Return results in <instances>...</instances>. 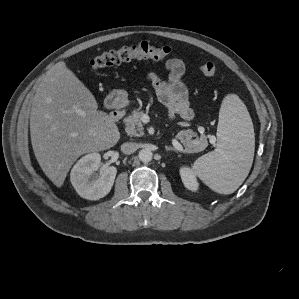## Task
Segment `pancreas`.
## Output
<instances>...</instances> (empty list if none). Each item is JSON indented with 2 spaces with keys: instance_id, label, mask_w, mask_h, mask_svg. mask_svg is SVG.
Segmentation results:
<instances>
[{
  "instance_id": "cf45deb5",
  "label": "pancreas",
  "mask_w": 299,
  "mask_h": 299,
  "mask_svg": "<svg viewBox=\"0 0 299 299\" xmlns=\"http://www.w3.org/2000/svg\"><path fill=\"white\" fill-rule=\"evenodd\" d=\"M142 115V111L134 110L131 115L125 118V130L129 135L138 137L144 134L143 123L141 121ZM194 137H196V133L191 129L179 131L175 136L185 146L186 152L197 153L203 151L208 145L206 137Z\"/></svg>"
}]
</instances>
